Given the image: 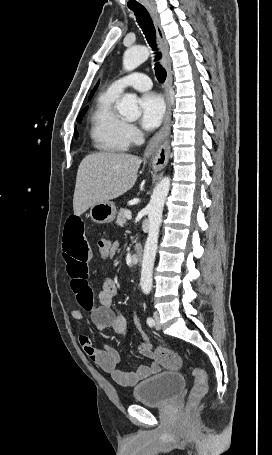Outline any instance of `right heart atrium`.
I'll return each instance as SVG.
<instances>
[{
  "instance_id": "1",
  "label": "right heart atrium",
  "mask_w": 272,
  "mask_h": 455,
  "mask_svg": "<svg viewBox=\"0 0 272 455\" xmlns=\"http://www.w3.org/2000/svg\"><path fill=\"white\" fill-rule=\"evenodd\" d=\"M127 135L130 142L137 143L141 140L142 134L133 124H127Z\"/></svg>"
}]
</instances>
